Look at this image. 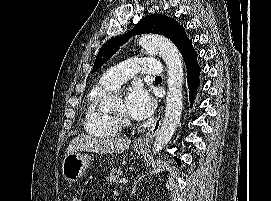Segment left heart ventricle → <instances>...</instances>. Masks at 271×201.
<instances>
[{
  "label": "left heart ventricle",
  "instance_id": "obj_1",
  "mask_svg": "<svg viewBox=\"0 0 271 201\" xmlns=\"http://www.w3.org/2000/svg\"><path fill=\"white\" fill-rule=\"evenodd\" d=\"M115 113L116 114H125L126 115V109H125V104L124 101H119L116 106H115Z\"/></svg>",
  "mask_w": 271,
  "mask_h": 201
}]
</instances>
